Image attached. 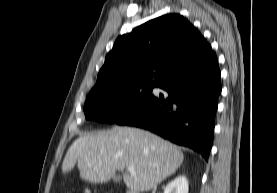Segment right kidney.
<instances>
[{"instance_id": "ca27d5eb", "label": "right kidney", "mask_w": 277, "mask_h": 193, "mask_svg": "<svg viewBox=\"0 0 277 193\" xmlns=\"http://www.w3.org/2000/svg\"><path fill=\"white\" fill-rule=\"evenodd\" d=\"M188 189V180L182 175L171 181L164 189V193H188Z\"/></svg>"}]
</instances>
